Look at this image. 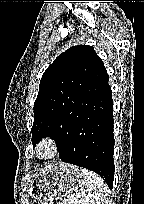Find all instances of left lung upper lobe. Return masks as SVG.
<instances>
[{
  "instance_id": "left-lung-upper-lobe-1",
  "label": "left lung upper lobe",
  "mask_w": 144,
  "mask_h": 204,
  "mask_svg": "<svg viewBox=\"0 0 144 204\" xmlns=\"http://www.w3.org/2000/svg\"><path fill=\"white\" fill-rule=\"evenodd\" d=\"M102 60L91 46L77 45L60 54L44 72L34 103L31 129L35 146L43 137L61 143L86 103V88Z\"/></svg>"
}]
</instances>
